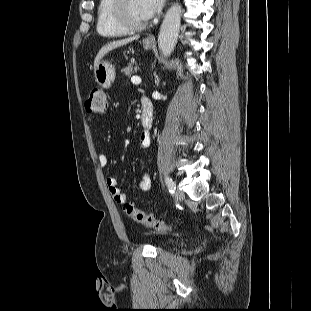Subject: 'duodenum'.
I'll use <instances>...</instances> for the list:
<instances>
[{
    "label": "duodenum",
    "mask_w": 311,
    "mask_h": 311,
    "mask_svg": "<svg viewBox=\"0 0 311 311\" xmlns=\"http://www.w3.org/2000/svg\"><path fill=\"white\" fill-rule=\"evenodd\" d=\"M141 123L146 131H149L152 127V104L148 98L142 99Z\"/></svg>",
    "instance_id": "1"
}]
</instances>
